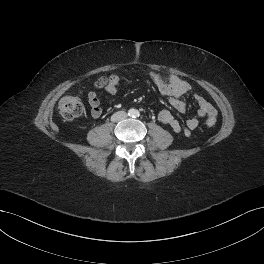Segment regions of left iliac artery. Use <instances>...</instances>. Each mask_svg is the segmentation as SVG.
<instances>
[{
    "instance_id": "obj_1",
    "label": "left iliac artery",
    "mask_w": 264,
    "mask_h": 264,
    "mask_svg": "<svg viewBox=\"0 0 264 264\" xmlns=\"http://www.w3.org/2000/svg\"><path fill=\"white\" fill-rule=\"evenodd\" d=\"M135 115H136V116H139L140 114H139V112L137 111V112L135 113Z\"/></svg>"
}]
</instances>
